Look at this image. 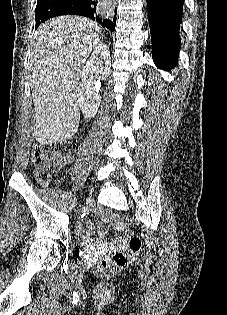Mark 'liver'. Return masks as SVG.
Segmentation results:
<instances>
[{
	"label": "liver",
	"mask_w": 227,
	"mask_h": 315,
	"mask_svg": "<svg viewBox=\"0 0 227 315\" xmlns=\"http://www.w3.org/2000/svg\"><path fill=\"white\" fill-rule=\"evenodd\" d=\"M101 38V27L79 16H59L39 26L32 45L29 81L40 144L71 139L78 130L82 68Z\"/></svg>",
	"instance_id": "1"
}]
</instances>
